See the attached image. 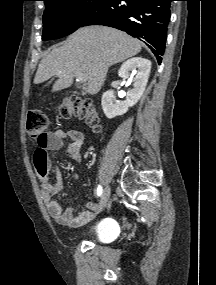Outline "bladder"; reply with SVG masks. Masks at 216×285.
<instances>
[{
	"label": "bladder",
	"mask_w": 216,
	"mask_h": 285,
	"mask_svg": "<svg viewBox=\"0 0 216 285\" xmlns=\"http://www.w3.org/2000/svg\"><path fill=\"white\" fill-rule=\"evenodd\" d=\"M116 226L111 220H103L93 228L81 233V237H91L98 242H108L116 235Z\"/></svg>",
	"instance_id": "31cf9c89"
}]
</instances>
